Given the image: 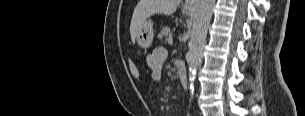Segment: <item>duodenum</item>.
<instances>
[{
  "instance_id": "obj_1",
  "label": "duodenum",
  "mask_w": 305,
  "mask_h": 116,
  "mask_svg": "<svg viewBox=\"0 0 305 116\" xmlns=\"http://www.w3.org/2000/svg\"><path fill=\"white\" fill-rule=\"evenodd\" d=\"M178 74L181 82L182 89L185 90L188 86V77H187V71L184 63L179 62L177 64Z\"/></svg>"
}]
</instances>
